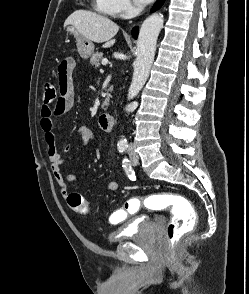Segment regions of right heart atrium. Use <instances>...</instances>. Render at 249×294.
<instances>
[{
    "label": "right heart atrium",
    "mask_w": 249,
    "mask_h": 294,
    "mask_svg": "<svg viewBox=\"0 0 249 294\" xmlns=\"http://www.w3.org/2000/svg\"><path fill=\"white\" fill-rule=\"evenodd\" d=\"M115 15L127 16L133 9L131 0H112Z\"/></svg>",
    "instance_id": "right-heart-atrium-1"
}]
</instances>
